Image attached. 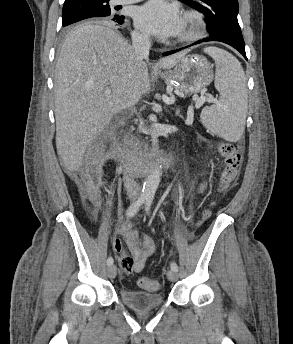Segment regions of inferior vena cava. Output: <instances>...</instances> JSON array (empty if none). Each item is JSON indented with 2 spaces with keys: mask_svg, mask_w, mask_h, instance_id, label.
I'll return each mask as SVG.
<instances>
[{
  "mask_svg": "<svg viewBox=\"0 0 293 344\" xmlns=\"http://www.w3.org/2000/svg\"><path fill=\"white\" fill-rule=\"evenodd\" d=\"M132 46L134 50L135 60L141 61L147 59L149 56V49L151 47L150 37L147 34L133 32L132 33ZM122 104L123 109L128 111L130 114L135 112L136 95L133 87L130 83H127L122 91ZM128 150L134 152L136 144L130 141L128 144ZM124 187L129 197H136L140 192V186L134 179L133 174L129 168H126L123 174Z\"/></svg>",
  "mask_w": 293,
  "mask_h": 344,
  "instance_id": "1",
  "label": "inferior vena cava"
}]
</instances>
